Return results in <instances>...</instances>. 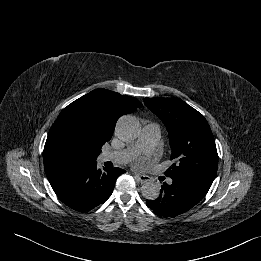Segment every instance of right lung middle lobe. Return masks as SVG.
I'll list each match as a JSON object with an SVG mask.
<instances>
[{"label":"right lung middle lobe","instance_id":"obj_1","mask_svg":"<svg viewBox=\"0 0 261 261\" xmlns=\"http://www.w3.org/2000/svg\"><path fill=\"white\" fill-rule=\"evenodd\" d=\"M74 135L80 141V148L90 147L96 142L94 133L89 130L78 129L74 132Z\"/></svg>","mask_w":261,"mask_h":261}]
</instances>
